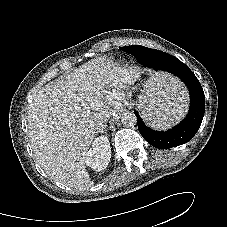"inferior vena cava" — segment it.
Listing matches in <instances>:
<instances>
[{"label":"inferior vena cava","instance_id":"inferior-vena-cava-1","mask_svg":"<svg viewBox=\"0 0 227 227\" xmlns=\"http://www.w3.org/2000/svg\"><path fill=\"white\" fill-rule=\"evenodd\" d=\"M98 125H99L98 128L100 129L103 126H106V121L105 122H99Z\"/></svg>","mask_w":227,"mask_h":227}]
</instances>
